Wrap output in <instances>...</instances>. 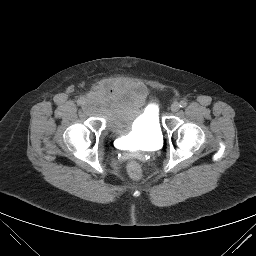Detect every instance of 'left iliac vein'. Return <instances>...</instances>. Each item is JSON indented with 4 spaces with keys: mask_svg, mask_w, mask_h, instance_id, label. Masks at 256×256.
I'll use <instances>...</instances> for the list:
<instances>
[{
    "mask_svg": "<svg viewBox=\"0 0 256 256\" xmlns=\"http://www.w3.org/2000/svg\"><path fill=\"white\" fill-rule=\"evenodd\" d=\"M170 108H171V111H172V112H177V111L179 110V108H180L179 103L174 102V103L171 105Z\"/></svg>",
    "mask_w": 256,
    "mask_h": 256,
    "instance_id": "obj_1",
    "label": "left iliac vein"
}]
</instances>
